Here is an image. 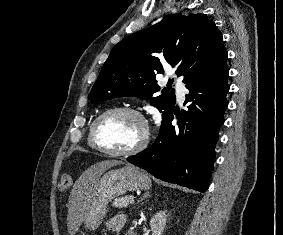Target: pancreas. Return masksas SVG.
<instances>
[{
    "label": "pancreas",
    "mask_w": 283,
    "mask_h": 235,
    "mask_svg": "<svg viewBox=\"0 0 283 235\" xmlns=\"http://www.w3.org/2000/svg\"><path fill=\"white\" fill-rule=\"evenodd\" d=\"M132 198H134L132 195L116 198L113 201L112 206L117 208H126L129 205V203H132Z\"/></svg>",
    "instance_id": "obj_1"
}]
</instances>
